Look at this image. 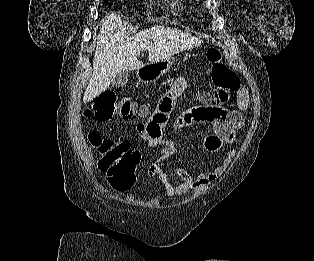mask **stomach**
<instances>
[{
    "label": "stomach",
    "instance_id": "1",
    "mask_svg": "<svg viewBox=\"0 0 314 261\" xmlns=\"http://www.w3.org/2000/svg\"><path fill=\"white\" fill-rule=\"evenodd\" d=\"M175 63V57L171 56L166 59L150 62L137 69L136 76L142 83H153L160 79L172 65Z\"/></svg>",
    "mask_w": 314,
    "mask_h": 261
}]
</instances>
